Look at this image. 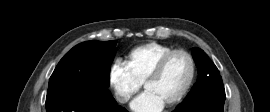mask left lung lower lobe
Instances as JSON below:
<instances>
[{
  "label": "left lung lower lobe",
  "instance_id": "1",
  "mask_svg": "<svg viewBox=\"0 0 270 112\" xmlns=\"http://www.w3.org/2000/svg\"><path fill=\"white\" fill-rule=\"evenodd\" d=\"M224 89H212L196 101L182 102L173 112H223Z\"/></svg>",
  "mask_w": 270,
  "mask_h": 112
}]
</instances>
